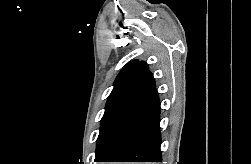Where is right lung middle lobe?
<instances>
[{"mask_svg": "<svg viewBox=\"0 0 251 164\" xmlns=\"http://www.w3.org/2000/svg\"><path fill=\"white\" fill-rule=\"evenodd\" d=\"M141 94L142 92L136 90H122L110 94L101 120L96 148L105 140L116 120L140 98Z\"/></svg>", "mask_w": 251, "mask_h": 164, "instance_id": "dd1d6c3e", "label": "right lung middle lobe"}]
</instances>
